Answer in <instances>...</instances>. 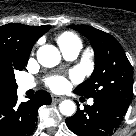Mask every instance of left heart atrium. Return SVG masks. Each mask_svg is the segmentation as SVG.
I'll list each match as a JSON object with an SVG mask.
<instances>
[{
  "instance_id": "39dd6f15",
  "label": "left heart atrium",
  "mask_w": 136,
  "mask_h": 136,
  "mask_svg": "<svg viewBox=\"0 0 136 136\" xmlns=\"http://www.w3.org/2000/svg\"><path fill=\"white\" fill-rule=\"evenodd\" d=\"M47 85L54 91H61L68 86V81L65 77L53 76L47 79Z\"/></svg>"
}]
</instances>
